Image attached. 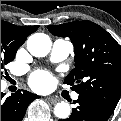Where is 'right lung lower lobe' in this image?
Segmentation results:
<instances>
[{"label": "right lung lower lobe", "mask_w": 121, "mask_h": 121, "mask_svg": "<svg viewBox=\"0 0 121 121\" xmlns=\"http://www.w3.org/2000/svg\"><path fill=\"white\" fill-rule=\"evenodd\" d=\"M4 95L1 93V121H21L28 105L39 98L26 90H18L6 99H3Z\"/></svg>", "instance_id": "obj_1"}]
</instances>
